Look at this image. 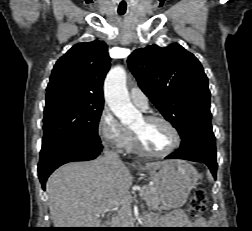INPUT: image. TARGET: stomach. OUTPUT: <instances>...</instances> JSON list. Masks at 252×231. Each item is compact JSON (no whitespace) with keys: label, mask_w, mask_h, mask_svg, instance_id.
<instances>
[{"label":"stomach","mask_w":252,"mask_h":231,"mask_svg":"<svg viewBox=\"0 0 252 231\" xmlns=\"http://www.w3.org/2000/svg\"><path fill=\"white\" fill-rule=\"evenodd\" d=\"M154 182L160 207L179 208L195 187L198 174L193 166L181 160L163 162L159 167L145 168Z\"/></svg>","instance_id":"1"}]
</instances>
